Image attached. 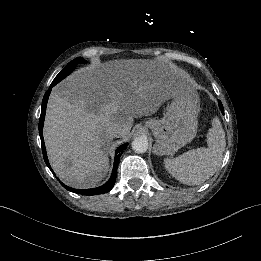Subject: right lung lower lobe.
Returning <instances> with one entry per match:
<instances>
[{"label":"right lung lower lobe","mask_w":261,"mask_h":261,"mask_svg":"<svg viewBox=\"0 0 261 261\" xmlns=\"http://www.w3.org/2000/svg\"><path fill=\"white\" fill-rule=\"evenodd\" d=\"M54 86L55 85L51 84V86L49 87V89L46 91V93L44 95V98H43V101H42L41 115H40V119H39V134H40V138H41L43 158H44L46 165L49 168H50V164H49V161H48V158H47L46 148H45L44 139H43V124H44V119H45L47 101H48L51 89ZM127 145H128V143H125V144H123V145H121L117 148V150L115 152L114 164H113L111 177L109 178V180L105 184L98 186V187H95V188H89V189H74V188H71V187L61 183L62 186L65 189H67L71 192H75L77 194H81V195H85V196L99 195V194H104V193L110 191L112 189V187L114 186L115 181H116L117 168H118L120 157L123 153V150L127 147Z\"/></svg>","instance_id":"right-lung-lower-lobe-1"}]
</instances>
